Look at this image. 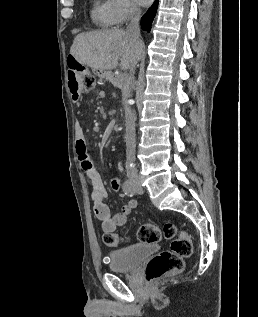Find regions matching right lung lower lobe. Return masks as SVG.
<instances>
[{"label": "right lung lower lobe", "mask_w": 258, "mask_h": 317, "mask_svg": "<svg viewBox=\"0 0 258 317\" xmlns=\"http://www.w3.org/2000/svg\"><path fill=\"white\" fill-rule=\"evenodd\" d=\"M157 7H158V0H155L151 8L142 17L141 27L143 30L148 32L151 30L152 21L156 15Z\"/></svg>", "instance_id": "1"}]
</instances>
